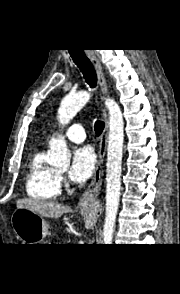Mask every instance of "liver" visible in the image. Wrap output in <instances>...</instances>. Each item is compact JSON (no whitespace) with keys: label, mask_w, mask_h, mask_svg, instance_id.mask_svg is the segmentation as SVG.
<instances>
[{"label":"liver","mask_w":180,"mask_h":294,"mask_svg":"<svg viewBox=\"0 0 180 294\" xmlns=\"http://www.w3.org/2000/svg\"><path fill=\"white\" fill-rule=\"evenodd\" d=\"M17 208H25L35 212L43 217L58 218L64 213L71 211L70 207L52 202L38 199H19L17 201Z\"/></svg>","instance_id":"liver-1"}]
</instances>
